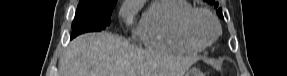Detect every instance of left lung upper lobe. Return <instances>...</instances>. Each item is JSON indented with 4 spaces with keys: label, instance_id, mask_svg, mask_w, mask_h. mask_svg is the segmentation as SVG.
Returning <instances> with one entry per match:
<instances>
[{
    "label": "left lung upper lobe",
    "instance_id": "1",
    "mask_svg": "<svg viewBox=\"0 0 287 76\" xmlns=\"http://www.w3.org/2000/svg\"><path fill=\"white\" fill-rule=\"evenodd\" d=\"M206 2H208L209 4L211 5H214L215 7H218V3L215 1V0H205ZM217 14L221 17L222 16V9L220 8L218 11H217Z\"/></svg>",
    "mask_w": 287,
    "mask_h": 76
}]
</instances>
